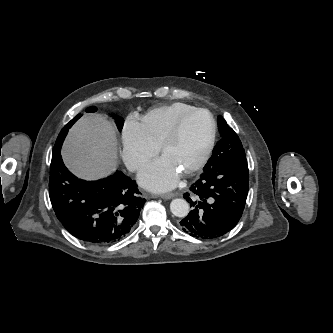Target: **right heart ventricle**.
Segmentation results:
<instances>
[{
	"instance_id": "obj_1",
	"label": "right heart ventricle",
	"mask_w": 333,
	"mask_h": 333,
	"mask_svg": "<svg viewBox=\"0 0 333 333\" xmlns=\"http://www.w3.org/2000/svg\"><path fill=\"white\" fill-rule=\"evenodd\" d=\"M195 106L184 102H173L148 110L142 117L141 123L149 138L158 147L171 126L186 111Z\"/></svg>"
}]
</instances>
